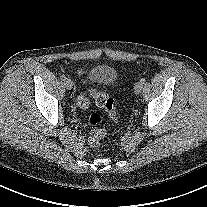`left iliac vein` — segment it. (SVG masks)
I'll return each mask as SVG.
<instances>
[{"label":"left iliac vein","instance_id":"left-iliac-vein-1","mask_svg":"<svg viewBox=\"0 0 207 207\" xmlns=\"http://www.w3.org/2000/svg\"><path fill=\"white\" fill-rule=\"evenodd\" d=\"M142 89H143V84L141 82H137L134 87V92L136 94H140L142 92Z\"/></svg>","mask_w":207,"mask_h":207}]
</instances>
